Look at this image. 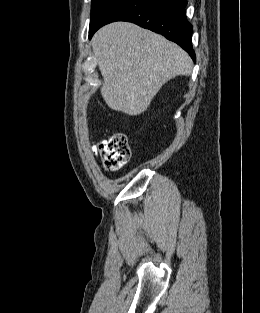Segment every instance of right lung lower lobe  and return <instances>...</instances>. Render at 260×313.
I'll return each instance as SVG.
<instances>
[{"instance_id": "obj_1", "label": "right lung lower lobe", "mask_w": 260, "mask_h": 313, "mask_svg": "<svg viewBox=\"0 0 260 313\" xmlns=\"http://www.w3.org/2000/svg\"><path fill=\"white\" fill-rule=\"evenodd\" d=\"M186 5L187 0H118L89 30V38L110 22L129 21L177 43L195 61L192 25L185 15Z\"/></svg>"}]
</instances>
